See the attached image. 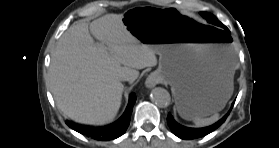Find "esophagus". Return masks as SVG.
<instances>
[{"mask_svg": "<svg viewBox=\"0 0 279 148\" xmlns=\"http://www.w3.org/2000/svg\"><path fill=\"white\" fill-rule=\"evenodd\" d=\"M160 82H161L160 77H159L157 74H155V73H151V74L147 77V79H146V81H145V85H146L147 88H153V87H155L157 84H159Z\"/></svg>", "mask_w": 279, "mask_h": 148, "instance_id": "34e87169", "label": "esophagus"}]
</instances>
